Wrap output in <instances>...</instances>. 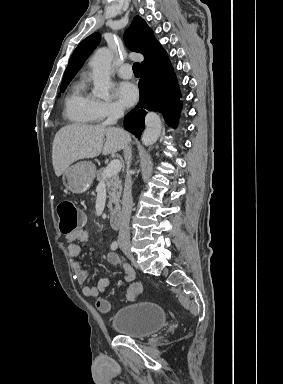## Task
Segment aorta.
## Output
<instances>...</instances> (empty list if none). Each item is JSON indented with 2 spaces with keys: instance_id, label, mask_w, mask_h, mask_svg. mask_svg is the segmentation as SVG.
Here are the masks:
<instances>
[{
  "instance_id": "762f6f07",
  "label": "aorta",
  "mask_w": 283,
  "mask_h": 384,
  "mask_svg": "<svg viewBox=\"0 0 283 384\" xmlns=\"http://www.w3.org/2000/svg\"><path fill=\"white\" fill-rule=\"evenodd\" d=\"M113 53L108 48L98 49L92 57L90 64L93 71L94 89L93 95L107 99L109 97L110 82V66ZM145 131L142 135V143L145 146L154 144L161 133V120L159 116L150 112L145 117Z\"/></svg>"
}]
</instances>
